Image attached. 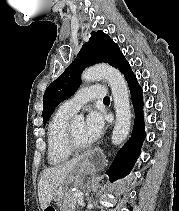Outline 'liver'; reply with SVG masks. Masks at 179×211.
I'll use <instances>...</instances> for the list:
<instances>
[{"label": "liver", "instance_id": "6515ba94", "mask_svg": "<svg viewBox=\"0 0 179 211\" xmlns=\"http://www.w3.org/2000/svg\"><path fill=\"white\" fill-rule=\"evenodd\" d=\"M83 157L75 158L59 166L49 167L43 171L38 183V197L41 209H46L52 199L61 194L66 180L71 173L83 163Z\"/></svg>", "mask_w": 179, "mask_h": 211}]
</instances>
